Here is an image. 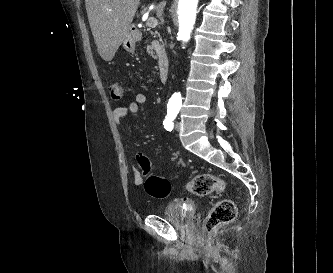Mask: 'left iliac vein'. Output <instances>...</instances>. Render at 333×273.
<instances>
[{"mask_svg":"<svg viewBox=\"0 0 333 273\" xmlns=\"http://www.w3.org/2000/svg\"><path fill=\"white\" fill-rule=\"evenodd\" d=\"M175 129H176L177 131H180V130H181V123H180V122H176V123H175Z\"/></svg>","mask_w":333,"mask_h":273,"instance_id":"4c4485c4","label":"left iliac vein"}]
</instances>
